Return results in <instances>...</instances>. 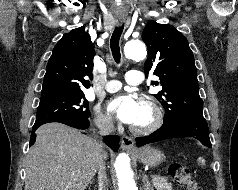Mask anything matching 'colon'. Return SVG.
Wrapping results in <instances>:
<instances>
[{"label": "colon", "instance_id": "5ec220e1", "mask_svg": "<svg viewBox=\"0 0 238 190\" xmlns=\"http://www.w3.org/2000/svg\"><path fill=\"white\" fill-rule=\"evenodd\" d=\"M169 175L180 186L186 190H201L200 186L193 178L192 171L185 165L174 163L168 169Z\"/></svg>", "mask_w": 238, "mask_h": 190}]
</instances>
